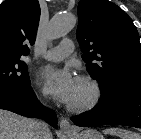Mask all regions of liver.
Returning a JSON list of instances; mask_svg holds the SVG:
<instances>
[{"instance_id": "1", "label": "liver", "mask_w": 141, "mask_h": 139, "mask_svg": "<svg viewBox=\"0 0 141 139\" xmlns=\"http://www.w3.org/2000/svg\"><path fill=\"white\" fill-rule=\"evenodd\" d=\"M37 124L34 119L0 109V139H34Z\"/></svg>"}]
</instances>
